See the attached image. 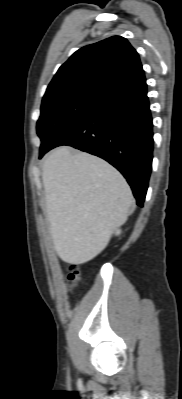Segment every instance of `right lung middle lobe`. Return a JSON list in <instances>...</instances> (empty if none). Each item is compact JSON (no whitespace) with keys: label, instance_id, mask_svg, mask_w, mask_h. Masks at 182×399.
<instances>
[{"label":"right lung middle lobe","instance_id":"dd1d6c3e","mask_svg":"<svg viewBox=\"0 0 182 399\" xmlns=\"http://www.w3.org/2000/svg\"><path fill=\"white\" fill-rule=\"evenodd\" d=\"M104 98L90 94H70L42 101L37 134L41 139L40 155L65 128L98 108Z\"/></svg>","mask_w":182,"mask_h":399}]
</instances>
